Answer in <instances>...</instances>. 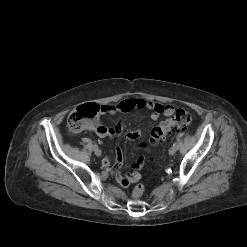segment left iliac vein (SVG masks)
<instances>
[{"mask_svg":"<svg viewBox=\"0 0 247 247\" xmlns=\"http://www.w3.org/2000/svg\"><path fill=\"white\" fill-rule=\"evenodd\" d=\"M176 151H177V148L174 147V146H172V147L169 149V154H170V155H174V154L176 153Z\"/></svg>","mask_w":247,"mask_h":247,"instance_id":"left-iliac-vein-1","label":"left iliac vein"}]
</instances>
